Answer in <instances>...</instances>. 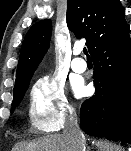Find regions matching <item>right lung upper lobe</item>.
<instances>
[{
  "label": "right lung upper lobe",
  "mask_w": 131,
  "mask_h": 151,
  "mask_svg": "<svg viewBox=\"0 0 131 151\" xmlns=\"http://www.w3.org/2000/svg\"><path fill=\"white\" fill-rule=\"evenodd\" d=\"M120 0H68L67 25L76 37L87 39L91 54L104 43L130 30ZM52 33L51 20L34 24L21 47L14 90L28 84L47 52Z\"/></svg>",
  "instance_id": "right-lung-upper-lobe-1"
}]
</instances>
